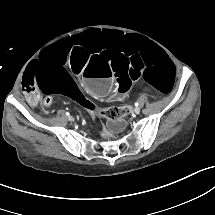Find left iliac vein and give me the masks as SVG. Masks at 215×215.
<instances>
[{
  "label": "left iliac vein",
  "instance_id": "obj_1",
  "mask_svg": "<svg viewBox=\"0 0 215 215\" xmlns=\"http://www.w3.org/2000/svg\"><path fill=\"white\" fill-rule=\"evenodd\" d=\"M139 112H140V108L136 107V108L134 109V113H135V114H138Z\"/></svg>",
  "mask_w": 215,
  "mask_h": 215
}]
</instances>
